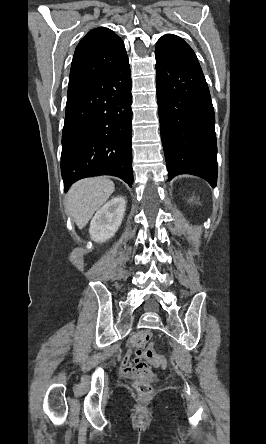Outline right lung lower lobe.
<instances>
[{"instance_id":"obj_1","label":"right lung lower lobe","mask_w":266,"mask_h":444,"mask_svg":"<svg viewBox=\"0 0 266 444\" xmlns=\"http://www.w3.org/2000/svg\"><path fill=\"white\" fill-rule=\"evenodd\" d=\"M131 104L128 56L67 99L61 154L65 192L77 180L98 175L117 176L131 187Z\"/></svg>"}]
</instances>
